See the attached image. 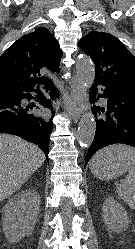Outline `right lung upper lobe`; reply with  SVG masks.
<instances>
[{"label": "right lung upper lobe", "mask_w": 135, "mask_h": 249, "mask_svg": "<svg viewBox=\"0 0 135 249\" xmlns=\"http://www.w3.org/2000/svg\"><path fill=\"white\" fill-rule=\"evenodd\" d=\"M62 51L51 33L45 28H37L14 42L0 57V90L14 91L35 87L43 80L38 78L40 70L47 67L59 72Z\"/></svg>", "instance_id": "right-lung-upper-lobe-1"}]
</instances>
